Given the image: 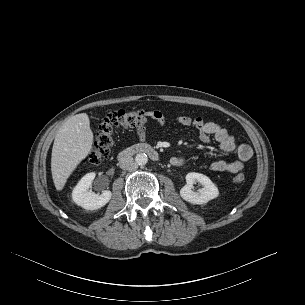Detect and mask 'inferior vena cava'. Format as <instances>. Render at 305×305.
<instances>
[{"label": "inferior vena cava", "mask_w": 305, "mask_h": 305, "mask_svg": "<svg viewBox=\"0 0 305 305\" xmlns=\"http://www.w3.org/2000/svg\"><path fill=\"white\" fill-rule=\"evenodd\" d=\"M133 157L131 156H123L119 159V166L123 170H128L133 166Z\"/></svg>", "instance_id": "obj_1"}]
</instances>
